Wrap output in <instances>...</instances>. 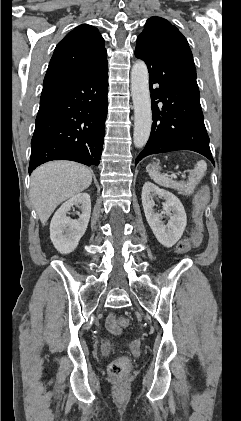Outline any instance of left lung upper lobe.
<instances>
[{"label":"left lung upper lobe","mask_w":241,"mask_h":421,"mask_svg":"<svg viewBox=\"0 0 241 421\" xmlns=\"http://www.w3.org/2000/svg\"><path fill=\"white\" fill-rule=\"evenodd\" d=\"M138 38L160 47L184 50L192 55L186 38L168 20L161 17L149 18Z\"/></svg>","instance_id":"1"}]
</instances>
